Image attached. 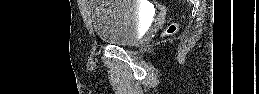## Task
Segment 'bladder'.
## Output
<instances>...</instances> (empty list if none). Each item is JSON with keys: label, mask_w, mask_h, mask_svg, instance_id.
Segmentation results:
<instances>
[{"label": "bladder", "mask_w": 259, "mask_h": 94, "mask_svg": "<svg viewBox=\"0 0 259 94\" xmlns=\"http://www.w3.org/2000/svg\"><path fill=\"white\" fill-rule=\"evenodd\" d=\"M143 13L130 0H97L91 3V23L101 40L116 46H128L142 35Z\"/></svg>", "instance_id": "1"}]
</instances>
